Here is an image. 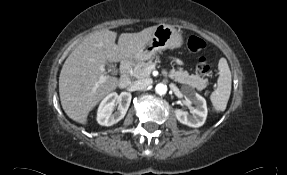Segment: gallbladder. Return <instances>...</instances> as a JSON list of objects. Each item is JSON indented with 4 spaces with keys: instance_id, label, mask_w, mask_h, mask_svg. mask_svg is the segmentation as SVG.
Wrapping results in <instances>:
<instances>
[{
    "instance_id": "1",
    "label": "gallbladder",
    "mask_w": 287,
    "mask_h": 175,
    "mask_svg": "<svg viewBox=\"0 0 287 175\" xmlns=\"http://www.w3.org/2000/svg\"><path fill=\"white\" fill-rule=\"evenodd\" d=\"M106 66H107V68H108L111 72H113V71H114V66H113V64H112V63L107 62V63H106Z\"/></svg>"
}]
</instances>
